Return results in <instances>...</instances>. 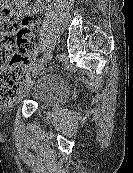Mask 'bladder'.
Wrapping results in <instances>:
<instances>
[{"label": "bladder", "instance_id": "1", "mask_svg": "<svg viewBox=\"0 0 133 173\" xmlns=\"http://www.w3.org/2000/svg\"><path fill=\"white\" fill-rule=\"evenodd\" d=\"M68 96V87L58 75L48 73L40 76L30 86L27 98L41 107L52 110L61 106Z\"/></svg>", "mask_w": 133, "mask_h": 173}]
</instances>
